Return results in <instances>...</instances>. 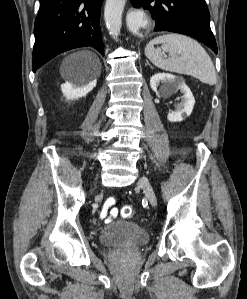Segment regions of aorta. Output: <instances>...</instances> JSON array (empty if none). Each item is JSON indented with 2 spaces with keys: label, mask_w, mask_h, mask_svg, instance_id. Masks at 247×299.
Segmentation results:
<instances>
[{
  "label": "aorta",
  "mask_w": 247,
  "mask_h": 299,
  "mask_svg": "<svg viewBox=\"0 0 247 299\" xmlns=\"http://www.w3.org/2000/svg\"><path fill=\"white\" fill-rule=\"evenodd\" d=\"M126 0H106L104 18L109 34L117 37L122 26V13Z\"/></svg>",
  "instance_id": "aorta-1"
}]
</instances>
